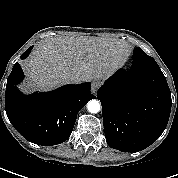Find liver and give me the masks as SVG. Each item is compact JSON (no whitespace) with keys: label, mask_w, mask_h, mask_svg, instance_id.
Wrapping results in <instances>:
<instances>
[{"label":"liver","mask_w":178,"mask_h":178,"mask_svg":"<svg viewBox=\"0 0 178 178\" xmlns=\"http://www.w3.org/2000/svg\"><path fill=\"white\" fill-rule=\"evenodd\" d=\"M128 53V45L121 40L61 36L41 40L23 63L30 81L25 88H53L69 82L71 75L80 82L108 78L123 65Z\"/></svg>","instance_id":"1"}]
</instances>
